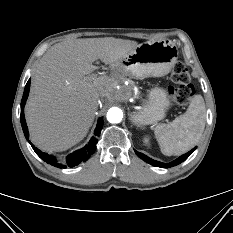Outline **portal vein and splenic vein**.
<instances>
[{
    "mask_svg": "<svg viewBox=\"0 0 233 233\" xmlns=\"http://www.w3.org/2000/svg\"><path fill=\"white\" fill-rule=\"evenodd\" d=\"M95 76L94 75H91V78H94Z\"/></svg>",
    "mask_w": 233,
    "mask_h": 233,
    "instance_id": "1",
    "label": "portal vein and splenic vein"
}]
</instances>
